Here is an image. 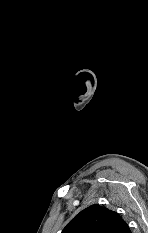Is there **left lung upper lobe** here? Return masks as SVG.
Masks as SVG:
<instances>
[{"label":"left lung upper lobe","mask_w":148,"mask_h":233,"mask_svg":"<svg viewBox=\"0 0 148 233\" xmlns=\"http://www.w3.org/2000/svg\"><path fill=\"white\" fill-rule=\"evenodd\" d=\"M62 233H131V231L118 213L100 205H91L78 213Z\"/></svg>","instance_id":"obj_1"}]
</instances>
